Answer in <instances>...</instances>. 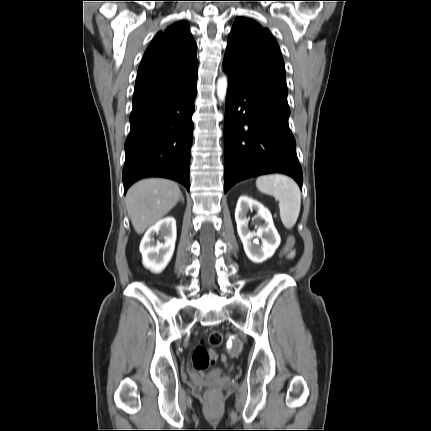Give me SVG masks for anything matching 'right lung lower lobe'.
Wrapping results in <instances>:
<instances>
[{"label": "right lung lower lobe", "instance_id": "obj_1", "mask_svg": "<svg viewBox=\"0 0 431 431\" xmlns=\"http://www.w3.org/2000/svg\"><path fill=\"white\" fill-rule=\"evenodd\" d=\"M197 80L175 96L134 110L125 142L124 193L145 177L173 179L189 190Z\"/></svg>", "mask_w": 431, "mask_h": 431}]
</instances>
